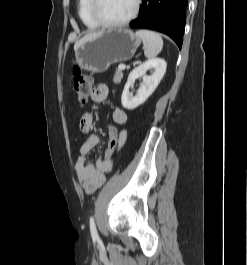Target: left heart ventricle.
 Instances as JSON below:
<instances>
[{
  "label": "left heart ventricle",
  "instance_id": "obj_1",
  "mask_svg": "<svg viewBox=\"0 0 247 265\" xmlns=\"http://www.w3.org/2000/svg\"><path fill=\"white\" fill-rule=\"evenodd\" d=\"M135 0H100L98 12L109 22H117L127 18L133 11Z\"/></svg>",
  "mask_w": 247,
  "mask_h": 265
}]
</instances>
